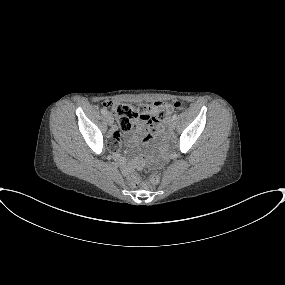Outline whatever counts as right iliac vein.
<instances>
[{"label":"right iliac vein","mask_w":285,"mask_h":285,"mask_svg":"<svg viewBox=\"0 0 285 285\" xmlns=\"http://www.w3.org/2000/svg\"><path fill=\"white\" fill-rule=\"evenodd\" d=\"M106 120L109 125H112L114 123L113 117L110 114L106 116Z\"/></svg>","instance_id":"1"}]
</instances>
